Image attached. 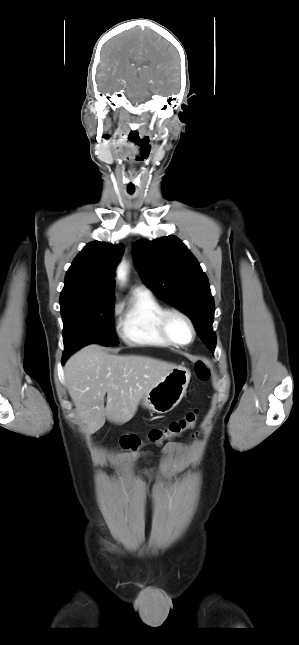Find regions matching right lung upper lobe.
Wrapping results in <instances>:
<instances>
[{
	"label": "right lung upper lobe",
	"mask_w": 299,
	"mask_h": 645,
	"mask_svg": "<svg viewBox=\"0 0 299 645\" xmlns=\"http://www.w3.org/2000/svg\"><path fill=\"white\" fill-rule=\"evenodd\" d=\"M124 245L93 241L74 259L66 273L60 304L69 300H96L114 297V271Z\"/></svg>",
	"instance_id": "cb5924a9"
}]
</instances>
